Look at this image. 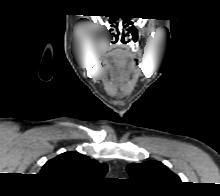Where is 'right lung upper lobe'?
Listing matches in <instances>:
<instances>
[{"mask_svg": "<svg viewBox=\"0 0 220 196\" xmlns=\"http://www.w3.org/2000/svg\"><path fill=\"white\" fill-rule=\"evenodd\" d=\"M108 166L77 152H65L49 160L40 175L59 183L93 185L106 174Z\"/></svg>", "mask_w": 220, "mask_h": 196, "instance_id": "right-lung-upper-lobe-1", "label": "right lung upper lobe"}]
</instances>
